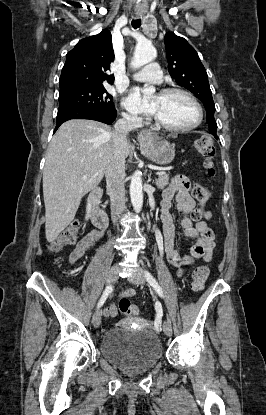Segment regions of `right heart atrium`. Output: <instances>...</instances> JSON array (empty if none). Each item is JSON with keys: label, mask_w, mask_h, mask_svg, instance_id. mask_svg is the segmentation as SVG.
<instances>
[{"label": "right heart atrium", "mask_w": 266, "mask_h": 415, "mask_svg": "<svg viewBox=\"0 0 266 415\" xmlns=\"http://www.w3.org/2000/svg\"><path fill=\"white\" fill-rule=\"evenodd\" d=\"M123 116H124L125 119H127L130 122H138V121H140V118L137 115H135V114L124 113Z\"/></svg>", "instance_id": "1"}]
</instances>
